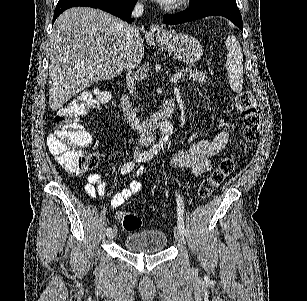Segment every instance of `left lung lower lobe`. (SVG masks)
<instances>
[{"label": "left lung lower lobe", "instance_id": "obj_1", "mask_svg": "<svg viewBox=\"0 0 307 301\" xmlns=\"http://www.w3.org/2000/svg\"><path fill=\"white\" fill-rule=\"evenodd\" d=\"M207 16L226 17L243 31L242 17L238 7L221 2H212L198 6H190V8L184 12L172 15H164L163 21L165 24L174 25L201 19Z\"/></svg>", "mask_w": 307, "mask_h": 301}]
</instances>
